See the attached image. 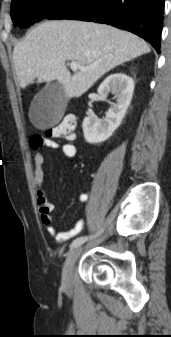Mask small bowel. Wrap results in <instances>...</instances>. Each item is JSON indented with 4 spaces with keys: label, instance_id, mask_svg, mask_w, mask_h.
Wrapping results in <instances>:
<instances>
[{
    "label": "small bowel",
    "instance_id": "c3829d8e",
    "mask_svg": "<svg viewBox=\"0 0 171 337\" xmlns=\"http://www.w3.org/2000/svg\"><path fill=\"white\" fill-rule=\"evenodd\" d=\"M31 147L34 150L33 156V182L37 197V205L40 213V218L48 233L60 243L66 242L68 239L79 235L84 228V221L78 220L75 225L68 231H60L54 224L52 212L54 206L49 200L47 190L45 188V173L43 165L45 157L42 153V148L47 147L53 151H61L63 155L68 158H75L78 154L77 147L70 142L60 144L54 139L44 136H34L31 139ZM67 184L64 183L63 187ZM89 200L87 194H81L79 201L82 204H86Z\"/></svg>",
    "mask_w": 171,
    "mask_h": 337
}]
</instances>
